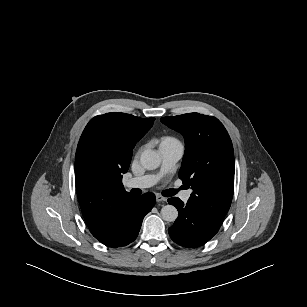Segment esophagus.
Instances as JSON below:
<instances>
[{"instance_id":"obj_1","label":"esophagus","mask_w":307,"mask_h":307,"mask_svg":"<svg viewBox=\"0 0 307 307\" xmlns=\"http://www.w3.org/2000/svg\"><path fill=\"white\" fill-rule=\"evenodd\" d=\"M166 200H167L166 197H164V196H162V195H160V194H156V201H157V202H164V201H166Z\"/></svg>"}]
</instances>
